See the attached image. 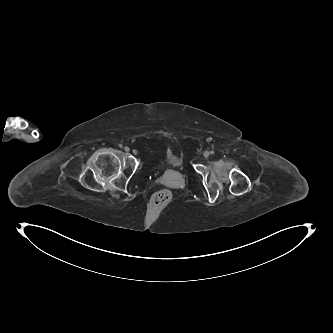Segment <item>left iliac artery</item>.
Instances as JSON below:
<instances>
[{
    "label": "left iliac artery",
    "instance_id": "obj_1",
    "mask_svg": "<svg viewBox=\"0 0 333 333\" xmlns=\"http://www.w3.org/2000/svg\"><path fill=\"white\" fill-rule=\"evenodd\" d=\"M210 153H211V154H214V151L212 150Z\"/></svg>",
    "mask_w": 333,
    "mask_h": 333
}]
</instances>
